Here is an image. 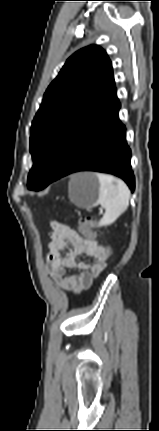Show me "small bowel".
<instances>
[{
  "instance_id": "c3829d8e",
  "label": "small bowel",
  "mask_w": 159,
  "mask_h": 431,
  "mask_svg": "<svg viewBox=\"0 0 159 431\" xmlns=\"http://www.w3.org/2000/svg\"><path fill=\"white\" fill-rule=\"evenodd\" d=\"M50 242L48 244L47 262L52 278L59 288L75 295L89 289L95 278L107 266L110 256L104 253L106 247L98 245L95 240L80 236L74 229L58 223H51ZM71 249L63 255L68 245ZM93 257L95 261L88 264L78 261L80 255ZM68 269H77L78 273L69 275Z\"/></svg>"
}]
</instances>
